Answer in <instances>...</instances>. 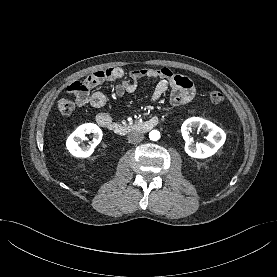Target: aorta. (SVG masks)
Here are the masks:
<instances>
[{
    "instance_id": "aorta-1",
    "label": "aorta",
    "mask_w": 277,
    "mask_h": 277,
    "mask_svg": "<svg viewBox=\"0 0 277 277\" xmlns=\"http://www.w3.org/2000/svg\"><path fill=\"white\" fill-rule=\"evenodd\" d=\"M149 138H150V140H152V141H157V140H159V138H160V132L157 131V130H152V131L149 133Z\"/></svg>"
}]
</instances>
